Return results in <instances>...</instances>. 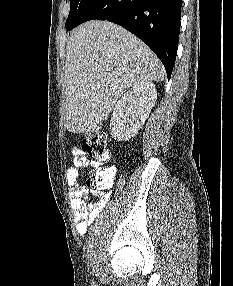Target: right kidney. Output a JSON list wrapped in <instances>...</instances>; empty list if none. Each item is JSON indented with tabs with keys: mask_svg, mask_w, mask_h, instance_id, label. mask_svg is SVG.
<instances>
[{
	"mask_svg": "<svg viewBox=\"0 0 233 286\" xmlns=\"http://www.w3.org/2000/svg\"><path fill=\"white\" fill-rule=\"evenodd\" d=\"M157 98L155 85L141 81L132 86L116 103L110 120L114 140L126 141L133 137L149 116Z\"/></svg>",
	"mask_w": 233,
	"mask_h": 286,
	"instance_id": "obj_1",
	"label": "right kidney"
}]
</instances>
